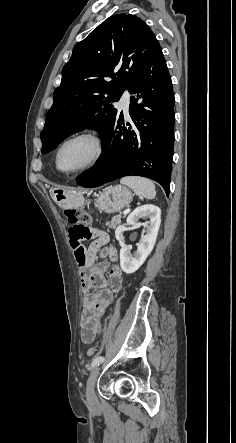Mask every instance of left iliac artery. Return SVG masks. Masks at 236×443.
I'll list each match as a JSON object with an SVG mask.
<instances>
[{"label": "left iliac artery", "mask_w": 236, "mask_h": 443, "mask_svg": "<svg viewBox=\"0 0 236 443\" xmlns=\"http://www.w3.org/2000/svg\"><path fill=\"white\" fill-rule=\"evenodd\" d=\"M104 361V357H102V356H98V357H96L93 361H92V363H91V368L92 367H95V366H97V365H99L100 363H102Z\"/></svg>", "instance_id": "obj_1"}]
</instances>
